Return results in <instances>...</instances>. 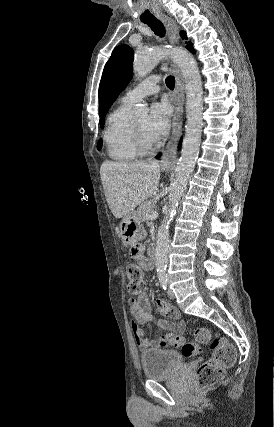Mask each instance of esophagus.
Returning <instances> with one entry per match:
<instances>
[{
	"label": "esophagus",
	"mask_w": 274,
	"mask_h": 427,
	"mask_svg": "<svg viewBox=\"0 0 274 427\" xmlns=\"http://www.w3.org/2000/svg\"><path fill=\"white\" fill-rule=\"evenodd\" d=\"M159 18L164 23L167 30L168 40L171 45H175L178 42L179 31L175 21L168 17L167 15H160ZM172 71L175 75L176 85L173 96V104L175 107V112L172 122V131L171 136L166 144V147L163 151L162 158L160 160V165L162 167H169L171 164L176 161V150L178 140L180 138L183 126V113H184V78L177 68L176 65H171Z\"/></svg>",
	"instance_id": "esophagus-1"
}]
</instances>
